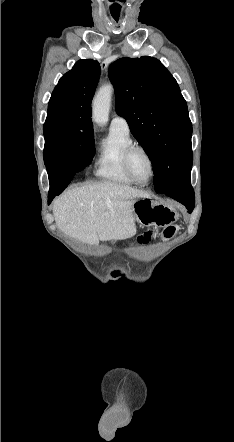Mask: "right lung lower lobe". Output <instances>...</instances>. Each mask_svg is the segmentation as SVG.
I'll list each match as a JSON object with an SVG mask.
<instances>
[{
	"mask_svg": "<svg viewBox=\"0 0 234 442\" xmlns=\"http://www.w3.org/2000/svg\"><path fill=\"white\" fill-rule=\"evenodd\" d=\"M50 181V190L48 194V204L51 203L56 195H59L70 183L74 175L77 173L75 166L70 160L51 164L47 167Z\"/></svg>",
	"mask_w": 234,
	"mask_h": 442,
	"instance_id": "1",
	"label": "right lung lower lobe"
}]
</instances>
